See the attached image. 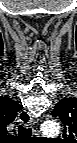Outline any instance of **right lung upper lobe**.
Instances as JSON below:
<instances>
[{"instance_id":"1","label":"right lung upper lobe","mask_w":77,"mask_h":143,"mask_svg":"<svg viewBox=\"0 0 77 143\" xmlns=\"http://www.w3.org/2000/svg\"><path fill=\"white\" fill-rule=\"evenodd\" d=\"M21 109L22 106L17 102L7 97H0V127L6 131V126L15 119Z\"/></svg>"}]
</instances>
